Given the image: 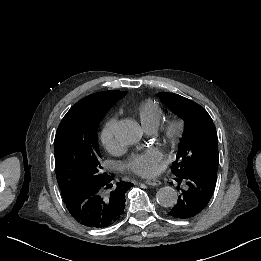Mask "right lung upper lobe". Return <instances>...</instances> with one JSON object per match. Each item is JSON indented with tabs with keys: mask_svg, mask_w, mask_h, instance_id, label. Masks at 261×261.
<instances>
[{
	"mask_svg": "<svg viewBox=\"0 0 261 261\" xmlns=\"http://www.w3.org/2000/svg\"><path fill=\"white\" fill-rule=\"evenodd\" d=\"M125 95L126 92H120L117 90L94 93L81 99L76 103V105L94 108L97 110H109L114 103Z\"/></svg>",
	"mask_w": 261,
	"mask_h": 261,
	"instance_id": "cb5924a9",
	"label": "right lung upper lobe"
}]
</instances>
